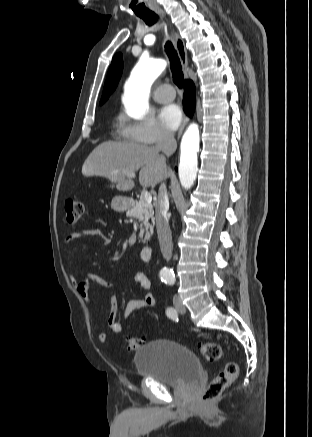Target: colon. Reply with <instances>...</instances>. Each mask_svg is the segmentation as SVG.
Segmentation results:
<instances>
[{
    "label": "colon",
    "mask_w": 312,
    "mask_h": 437,
    "mask_svg": "<svg viewBox=\"0 0 312 437\" xmlns=\"http://www.w3.org/2000/svg\"><path fill=\"white\" fill-rule=\"evenodd\" d=\"M65 219L68 224L76 223L83 214L84 205L81 201L68 198L64 203ZM142 344L138 338H130L128 341L129 351H136ZM198 349L202 356L208 362H216L222 359L224 355L223 348L214 342H200ZM238 375V366L235 362H227L220 372L208 384L203 392L202 400L211 401L219 397L223 391L236 379Z\"/></svg>",
    "instance_id": "obj_1"
}]
</instances>
